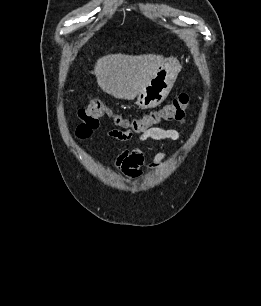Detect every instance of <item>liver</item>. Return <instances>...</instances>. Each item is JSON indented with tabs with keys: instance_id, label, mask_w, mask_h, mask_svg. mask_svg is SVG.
I'll list each match as a JSON object with an SVG mask.
<instances>
[{
	"instance_id": "obj_1",
	"label": "liver",
	"mask_w": 261,
	"mask_h": 306,
	"mask_svg": "<svg viewBox=\"0 0 261 306\" xmlns=\"http://www.w3.org/2000/svg\"><path fill=\"white\" fill-rule=\"evenodd\" d=\"M164 61L162 55L109 54L99 58L92 72L98 86L117 99L132 100Z\"/></svg>"
}]
</instances>
